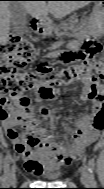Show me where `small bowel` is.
<instances>
[{"label":"small bowel","instance_id":"small-bowel-1","mask_svg":"<svg viewBox=\"0 0 104 189\" xmlns=\"http://www.w3.org/2000/svg\"><path fill=\"white\" fill-rule=\"evenodd\" d=\"M83 82L80 100L91 101L93 109L83 115L67 135H48L45 130L41 131L30 102L15 107L8 99H1L3 129L28 172L40 176L48 170H59L81 157L85 148L99 137L104 127L102 89L93 76L85 77ZM42 113L46 124L52 125L56 111L42 109Z\"/></svg>","mask_w":104,"mask_h":189}]
</instances>
